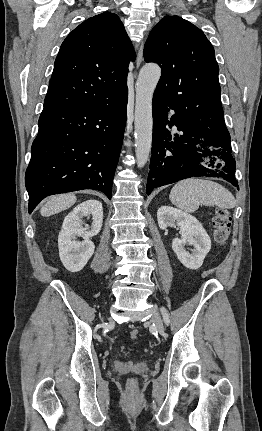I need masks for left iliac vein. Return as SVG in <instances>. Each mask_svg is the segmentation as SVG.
Wrapping results in <instances>:
<instances>
[{"label": "left iliac vein", "instance_id": "1", "mask_svg": "<svg viewBox=\"0 0 262 431\" xmlns=\"http://www.w3.org/2000/svg\"><path fill=\"white\" fill-rule=\"evenodd\" d=\"M150 321L156 327L159 334L163 335L165 331L164 324L160 316V313L155 308L152 309V317Z\"/></svg>", "mask_w": 262, "mask_h": 431}]
</instances>
